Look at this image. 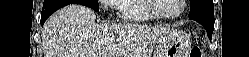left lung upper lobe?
I'll return each instance as SVG.
<instances>
[{"label": "left lung upper lobe", "instance_id": "5c2ea615", "mask_svg": "<svg viewBox=\"0 0 249 57\" xmlns=\"http://www.w3.org/2000/svg\"><path fill=\"white\" fill-rule=\"evenodd\" d=\"M191 9L188 17L197 15H214L212 0H190Z\"/></svg>", "mask_w": 249, "mask_h": 57}]
</instances>
